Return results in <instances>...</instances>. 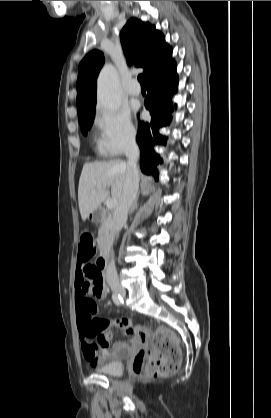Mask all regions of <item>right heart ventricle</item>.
<instances>
[{"label":"right heart ventricle","instance_id":"1","mask_svg":"<svg viewBox=\"0 0 271 418\" xmlns=\"http://www.w3.org/2000/svg\"><path fill=\"white\" fill-rule=\"evenodd\" d=\"M97 150H98V152H100V153H103V152H104V151H103V149L101 148V146H100L99 142H98V145H97Z\"/></svg>","mask_w":271,"mask_h":418}]
</instances>
